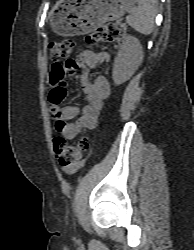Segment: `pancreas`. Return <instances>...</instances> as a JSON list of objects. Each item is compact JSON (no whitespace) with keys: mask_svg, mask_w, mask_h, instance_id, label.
<instances>
[{"mask_svg":"<svg viewBox=\"0 0 194 250\" xmlns=\"http://www.w3.org/2000/svg\"><path fill=\"white\" fill-rule=\"evenodd\" d=\"M119 25H120L122 28H125V27H126V25L123 24V23H119Z\"/></svg>","mask_w":194,"mask_h":250,"instance_id":"pancreas-1","label":"pancreas"}]
</instances>
